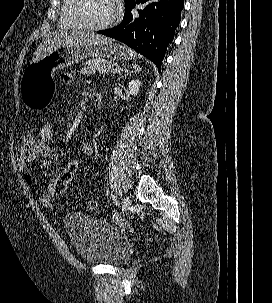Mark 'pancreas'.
I'll return each mask as SVG.
<instances>
[{
	"label": "pancreas",
	"instance_id": "pancreas-1",
	"mask_svg": "<svg viewBox=\"0 0 272 303\" xmlns=\"http://www.w3.org/2000/svg\"><path fill=\"white\" fill-rule=\"evenodd\" d=\"M116 67H118V63L114 61L90 59L84 63V67L80 70V72L82 75H91L97 71L102 74H114L112 69Z\"/></svg>",
	"mask_w": 272,
	"mask_h": 303
}]
</instances>
